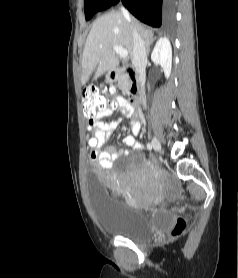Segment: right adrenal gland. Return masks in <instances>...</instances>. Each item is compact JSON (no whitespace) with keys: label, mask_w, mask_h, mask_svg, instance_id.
<instances>
[{"label":"right adrenal gland","mask_w":238,"mask_h":278,"mask_svg":"<svg viewBox=\"0 0 238 278\" xmlns=\"http://www.w3.org/2000/svg\"><path fill=\"white\" fill-rule=\"evenodd\" d=\"M156 40V38L150 39L146 42V48H147V54L150 53V46L153 44V42Z\"/></svg>","instance_id":"right-adrenal-gland-1"}]
</instances>
